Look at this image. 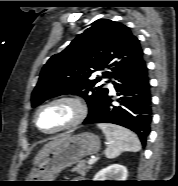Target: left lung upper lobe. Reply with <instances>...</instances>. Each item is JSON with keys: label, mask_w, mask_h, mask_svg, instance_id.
I'll use <instances>...</instances> for the list:
<instances>
[{"label": "left lung upper lobe", "mask_w": 178, "mask_h": 186, "mask_svg": "<svg viewBox=\"0 0 178 186\" xmlns=\"http://www.w3.org/2000/svg\"><path fill=\"white\" fill-rule=\"evenodd\" d=\"M142 59L140 42L128 27L99 19L44 65L32 93V106L55 96L74 94L86 100L90 112L100 104L108 90L97 86L101 77L92 80L91 74L106 69L103 77L115 79Z\"/></svg>", "instance_id": "1"}]
</instances>
